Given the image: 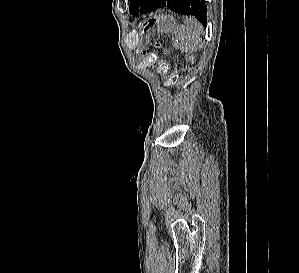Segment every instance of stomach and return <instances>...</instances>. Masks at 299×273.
I'll use <instances>...</instances> for the list:
<instances>
[{
	"mask_svg": "<svg viewBox=\"0 0 299 273\" xmlns=\"http://www.w3.org/2000/svg\"><path fill=\"white\" fill-rule=\"evenodd\" d=\"M175 19L169 15H156L146 21L149 31H159L167 33L175 29Z\"/></svg>",
	"mask_w": 299,
	"mask_h": 273,
	"instance_id": "1",
	"label": "stomach"
}]
</instances>
